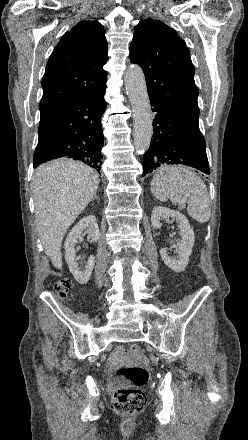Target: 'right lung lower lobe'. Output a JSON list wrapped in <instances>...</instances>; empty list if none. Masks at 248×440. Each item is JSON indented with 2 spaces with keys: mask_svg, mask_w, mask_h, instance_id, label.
Returning a JSON list of instances; mask_svg holds the SVG:
<instances>
[{
  "mask_svg": "<svg viewBox=\"0 0 248 440\" xmlns=\"http://www.w3.org/2000/svg\"><path fill=\"white\" fill-rule=\"evenodd\" d=\"M102 92L79 96L41 112L33 167L68 157L100 171L104 135L101 117L106 110Z\"/></svg>",
  "mask_w": 248,
  "mask_h": 440,
  "instance_id": "obj_1",
  "label": "right lung lower lobe"
}]
</instances>
